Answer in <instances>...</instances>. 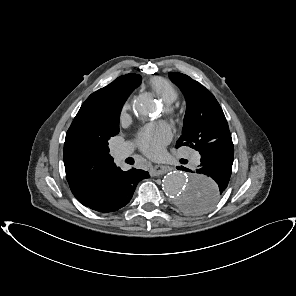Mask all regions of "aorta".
<instances>
[{
	"mask_svg": "<svg viewBox=\"0 0 296 296\" xmlns=\"http://www.w3.org/2000/svg\"><path fill=\"white\" fill-rule=\"evenodd\" d=\"M152 105L153 102L150 99L138 101L135 104V111L140 116H147ZM162 186L165 194L184 213H206L217 202V184L210 177L172 171L164 177Z\"/></svg>",
	"mask_w": 296,
	"mask_h": 296,
	"instance_id": "762f6f07",
	"label": "aorta"
}]
</instances>
